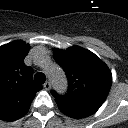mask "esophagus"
Wrapping results in <instances>:
<instances>
[{"instance_id":"1","label":"esophagus","mask_w":128,"mask_h":128,"mask_svg":"<svg viewBox=\"0 0 128 128\" xmlns=\"http://www.w3.org/2000/svg\"><path fill=\"white\" fill-rule=\"evenodd\" d=\"M44 88L46 89V90H49L50 88H51V84H50V82H45L44 83Z\"/></svg>"}]
</instances>
